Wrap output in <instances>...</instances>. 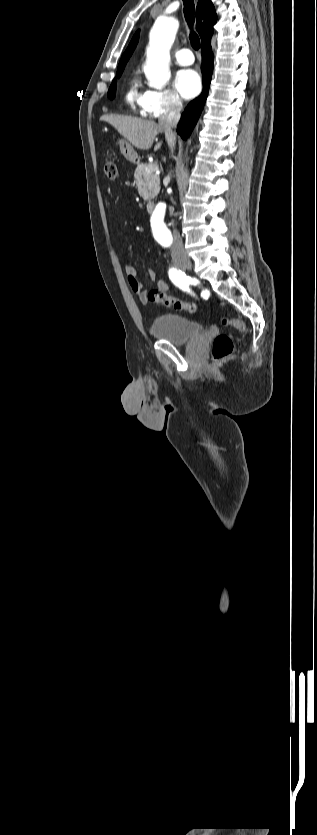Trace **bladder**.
I'll return each instance as SVG.
<instances>
[{
	"instance_id": "obj_1",
	"label": "bladder",
	"mask_w": 317,
	"mask_h": 835,
	"mask_svg": "<svg viewBox=\"0 0 317 835\" xmlns=\"http://www.w3.org/2000/svg\"><path fill=\"white\" fill-rule=\"evenodd\" d=\"M151 333L158 339L183 346L202 337L203 327L200 323L186 317L177 314H165L153 321Z\"/></svg>"
}]
</instances>
